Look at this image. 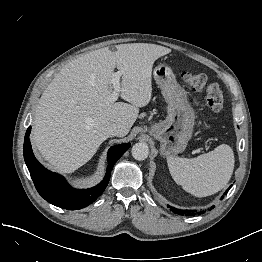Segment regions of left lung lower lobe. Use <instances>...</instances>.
Segmentation results:
<instances>
[{"mask_svg":"<svg viewBox=\"0 0 262 262\" xmlns=\"http://www.w3.org/2000/svg\"><path fill=\"white\" fill-rule=\"evenodd\" d=\"M230 187H232V185H231ZM227 191H228V190H226V192L224 193V195L227 194ZM169 208H170L174 213L180 214V215H184V214L195 215V213H199V214L203 213V211L197 212L196 210H181V209H176V208L171 207V206H169Z\"/></svg>","mask_w":262,"mask_h":262,"instance_id":"obj_1","label":"left lung lower lobe"}]
</instances>
